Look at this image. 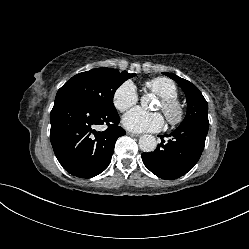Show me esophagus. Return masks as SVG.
Instances as JSON below:
<instances>
[{
	"mask_svg": "<svg viewBox=\"0 0 249 249\" xmlns=\"http://www.w3.org/2000/svg\"><path fill=\"white\" fill-rule=\"evenodd\" d=\"M127 134L129 136H133V137H139L140 136L139 134H136V133H133V132H127Z\"/></svg>",
	"mask_w": 249,
	"mask_h": 249,
	"instance_id": "obj_1",
	"label": "esophagus"
}]
</instances>
